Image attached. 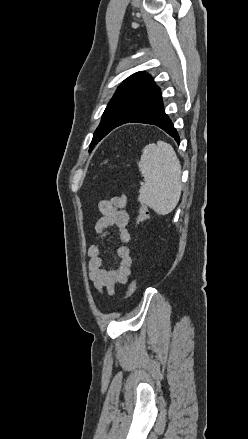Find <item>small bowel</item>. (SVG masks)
I'll return each instance as SVG.
<instances>
[{"label": "small bowel", "instance_id": "1", "mask_svg": "<svg viewBox=\"0 0 248 439\" xmlns=\"http://www.w3.org/2000/svg\"><path fill=\"white\" fill-rule=\"evenodd\" d=\"M127 197L115 196L108 200H101L98 209L102 216L97 220L94 230L99 245H92L87 250L89 258L87 264L88 277L96 290L101 294L115 295L118 285L125 284L131 274L132 257L126 245L131 240L128 229L129 215L125 210ZM115 228L119 244L116 247V256L119 261L117 268H104L101 257V245L109 236L108 229Z\"/></svg>", "mask_w": 248, "mask_h": 439}]
</instances>
